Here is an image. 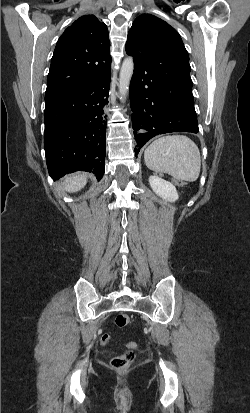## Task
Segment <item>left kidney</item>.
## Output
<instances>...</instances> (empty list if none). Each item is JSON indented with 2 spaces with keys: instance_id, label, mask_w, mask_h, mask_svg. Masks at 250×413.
<instances>
[{
  "instance_id": "5707ae66",
  "label": "left kidney",
  "mask_w": 250,
  "mask_h": 413,
  "mask_svg": "<svg viewBox=\"0 0 250 413\" xmlns=\"http://www.w3.org/2000/svg\"><path fill=\"white\" fill-rule=\"evenodd\" d=\"M149 184L152 190L162 199L168 202L178 200V192L172 183L153 175L149 177Z\"/></svg>"
}]
</instances>
